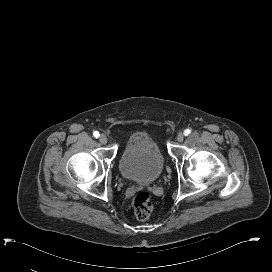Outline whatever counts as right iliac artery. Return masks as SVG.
<instances>
[{"instance_id":"obj_1","label":"right iliac artery","mask_w":272,"mask_h":272,"mask_svg":"<svg viewBox=\"0 0 272 272\" xmlns=\"http://www.w3.org/2000/svg\"><path fill=\"white\" fill-rule=\"evenodd\" d=\"M93 135H94L95 138H98V137H99V132H98V131H95V132L93 133Z\"/></svg>"}]
</instances>
